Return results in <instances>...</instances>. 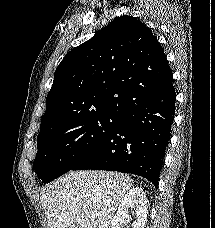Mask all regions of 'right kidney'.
<instances>
[{
    "instance_id": "1",
    "label": "right kidney",
    "mask_w": 215,
    "mask_h": 228,
    "mask_svg": "<svg viewBox=\"0 0 215 228\" xmlns=\"http://www.w3.org/2000/svg\"><path fill=\"white\" fill-rule=\"evenodd\" d=\"M129 212H133L132 216H135V222L131 224L132 228H145L147 200L141 188L128 190L119 204L118 212L111 222V228H124L126 224H129L132 220Z\"/></svg>"
}]
</instances>
